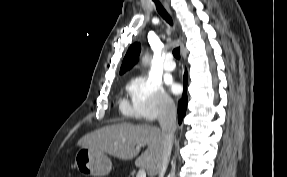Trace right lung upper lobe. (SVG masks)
Listing matches in <instances>:
<instances>
[{"instance_id":"obj_1","label":"right lung upper lobe","mask_w":287,"mask_h":177,"mask_svg":"<svg viewBox=\"0 0 287 177\" xmlns=\"http://www.w3.org/2000/svg\"><path fill=\"white\" fill-rule=\"evenodd\" d=\"M140 53V44L134 43L129 50L127 51L124 60L122 62V66L120 69V74L125 73L128 69H130L134 64H136L138 56Z\"/></svg>"}]
</instances>
